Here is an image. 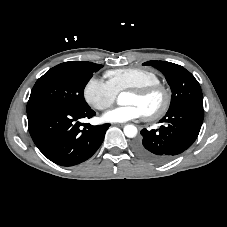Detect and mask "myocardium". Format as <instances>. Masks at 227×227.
Returning a JSON list of instances; mask_svg holds the SVG:
<instances>
[{"label":"myocardium","mask_w":227,"mask_h":227,"mask_svg":"<svg viewBox=\"0 0 227 227\" xmlns=\"http://www.w3.org/2000/svg\"><path fill=\"white\" fill-rule=\"evenodd\" d=\"M128 93L134 94L137 97H147L149 95H152L154 93H160L162 96V103L159 106V108L151 113L144 114L145 119L149 121H154L157 119H160L162 116L166 114L168 111L170 105H171V100H172V95L169 90L165 85L161 83H155L139 88H131L128 89Z\"/></svg>","instance_id":"1"}]
</instances>
